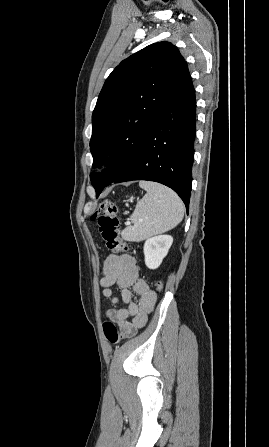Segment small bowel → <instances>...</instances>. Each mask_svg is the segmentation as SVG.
Masks as SVG:
<instances>
[{
    "mask_svg": "<svg viewBox=\"0 0 269 447\" xmlns=\"http://www.w3.org/2000/svg\"><path fill=\"white\" fill-rule=\"evenodd\" d=\"M103 287L102 295L109 299L117 308L107 311V317L121 328L126 325L142 327L148 320V315L157 301L156 293L141 277L134 257L128 254H110L103 263V277L100 280ZM116 285L121 290V299L126 304L120 306V299L114 295L111 286ZM139 296L136 302L133 293ZM131 318V321L129 319Z\"/></svg>",
    "mask_w": 269,
    "mask_h": 447,
    "instance_id": "1",
    "label": "small bowel"
}]
</instances>
